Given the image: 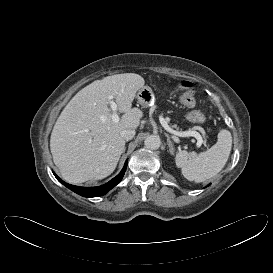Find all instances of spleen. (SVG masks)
I'll use <instances>...</instances> for the list:
<instances>
[{
    "label": "spleen",
    "mask_w": 273,
    "mask_h": 273,
    "mask_svg": "<svg viewBox=\"0 0 273 273\" xmlns=\"http://www.w3.org/2000/svg\"><path fill=\"white\" fill-rule=\"evenodd\" d=\"M232 147L231 133L222 129L217 143L205 152L197 154L179 150L175 163L181 168L183 176L189 181L204 182L217 175L225 166Z\"/></svg>",
    "instance_id": "3e777b00"
}]
</instances>
